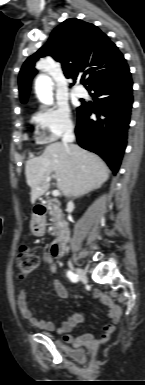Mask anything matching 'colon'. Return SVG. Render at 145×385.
<instances>
[{"label":"colon","instance_id":"colon-1","mask_svg":"<svg viewBox=\"0 0 145 385\" xmlns=\"http://www.w3.org/2000/svg\"><path fill=\"white\" fill-rule=\"evenodd\" d=\"M38 254L34 248L22 246L17 253V271L21 278L30 276L37 268Z\"/></svg>","mask_w":145,"mask_h":385}]
</instances>
